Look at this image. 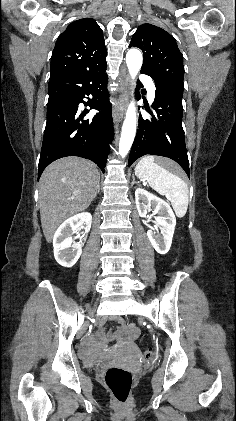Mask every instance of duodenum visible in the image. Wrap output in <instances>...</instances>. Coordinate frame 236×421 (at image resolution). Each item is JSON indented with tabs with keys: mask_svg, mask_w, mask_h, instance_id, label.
<instances>
[{
	"mask_svg": "<svg viewBox=\"0 0 236 421\" xmlns=\"http://www.w3.org/2000/svg\"><path fill=\"white\" fill-rule=\"evenodd\" d=\"M122 323V322H120ZM133 336V332L131 330H126L125 332H116L115 337H119L122 339H130ZM101 345L93 340H88L83 348V359L88 364H93L102 358V354L100 353L99 349Z\"/></svg>",
	"mask_w": 236,
	"mask_h": 421,
	"instance_id": "1",
	"label": "duodenum"
}]
</instances>
